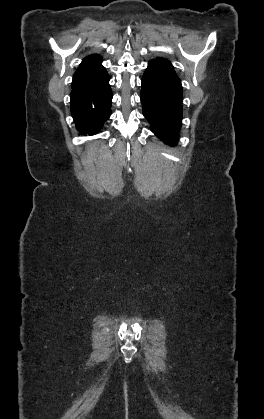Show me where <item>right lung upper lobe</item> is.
<instances>
[{
	"mask_svg": "<svg viewBox=\"0 0 264 419\" xmlns=\"http://www.w3.org/2000/svg\"><path fill=\"white\" fill-rule=\"evenodd\" d=\"M99 55L86 57L73 76L72 84H87L100 78L106 73Z\"/></svg>",
	"mask_w": 264,
	"mask_h": 419,
	"instance_id": "obj_1",
	"label": "right lung upper lobe"
}]
</instances>
